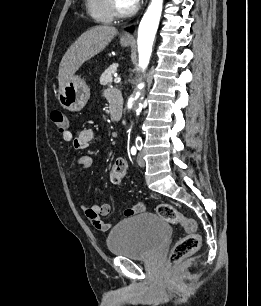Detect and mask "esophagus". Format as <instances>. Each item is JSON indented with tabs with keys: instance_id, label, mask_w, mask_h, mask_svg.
<instances>
[{
	"instance_id": "obj_1",
	"label": "esophagus",
	"mask_w": 261,
	"mask_h": 306,
	"mask_svg": "<svg viewBox=\"0 0 261 306\" xmlns=\"http://www.w3.org/2000/svg\"><path fill=\"white\" fill-rule=\"evenodd\" d=\"M122 40L132 41L134 39L133 35L130 32H125L121 36Z\"/></svg>"
}]
</instances>
